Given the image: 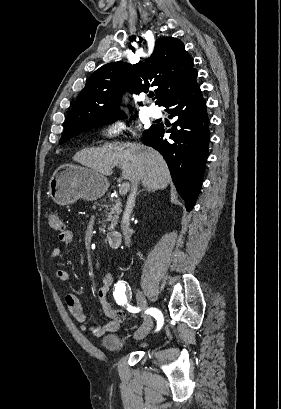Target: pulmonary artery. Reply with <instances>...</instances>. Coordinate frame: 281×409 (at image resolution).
I'll use <instances>...</instances> for the list:
<instances>
[{
	"mask_svg": "<svg viewBox=\"0 0 281 409\" xmlns=\"http://www.w3.org/2000/svg\"><path fill=\"white\" fill-rule=\"evenodd\" d=\"M147 113L150 117L154 118V119H158L162 116V112L159 108L155 107V106H149L147 108Z\"/></svg>",
	"mask_w": 281,
	"mask_h": 409,
	"instance_id": "obj_1",
	"label": "pulmonary artery"
}]
</instances>
